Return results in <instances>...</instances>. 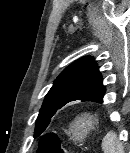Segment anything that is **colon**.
I'll list each match as a JSON object with an SVG mask.
<instances>
[{
  "label": "colon",
  "mask_w": 130,
  "mask_h": 153,
  "mask_svg": "<svg viewBox=\"0 0 130 153\" xmlns=\"http://www.w3.org/2000/svg\"><path fill=\"white\" fill-rule=\"evenodd\" d=\"M39 153H60L62 149L58 145L57 138L54 135H48L44 137L39 146Z\"/></svg>",
  "instance_id": "1"
}]
</instances>
